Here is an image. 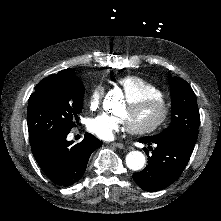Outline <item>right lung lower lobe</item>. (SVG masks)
<instances>
[{
  "mask_svg": "<svg viewBox=\"0 0 221 221\" xmlns=\"http://www.w3.org/2000/svg\"><path fill=\"white\" fill-rule=\"evenodd\" d=\"M67 135L32 143V153L46 176L57 185L70 186L80 180L91 153L102 146L100 140L86 133L82 142L71 146Z\"/></svg>",
  "mask_w": 221,
  "mask_h": 221,
  "instance_id": "1",
  "label": "right lung lower lobe"
}]
</instances>
